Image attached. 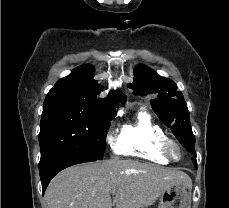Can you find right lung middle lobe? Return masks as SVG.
Instances as JSON below:
<instances>
[{
	"instance_id": "1",
	"label": "right lung middle lobe",
	"mask_w": 229,
	"mask_h": 208,
	"mask_svg": "<svg viewBox=\"0 0 229 208\" xmlns=\"http://www.w3.org/2000/svg\"><path fill=\"white\" fill-rule=\"evenodd\" d=\"M109 121L71 105H44L38 136L41 148L39 166L63 153L103 159Z\"/></svg>"
}]
</instances>
